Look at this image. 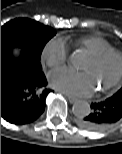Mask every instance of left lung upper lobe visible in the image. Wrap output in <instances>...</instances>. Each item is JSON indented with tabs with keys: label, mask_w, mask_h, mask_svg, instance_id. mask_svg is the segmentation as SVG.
Returning <instances> with one entry per match:
<instances>
[{
	"label": "left lung upper lobe",
	"mask_w": 122,
	"mask_h": 154,
	"mask_svg": "<svg viewBox=\"0 0 122 154\" xmlns=\"http://www.w3.org/2000/svg\"><path fill=\"white\" fill-rule=\"evenodd\" d=\"M113 96L118 97V99H122V88L118 90V92H116Z\"/></svg>",
	"instance_id": "1"
}]
</instances>
